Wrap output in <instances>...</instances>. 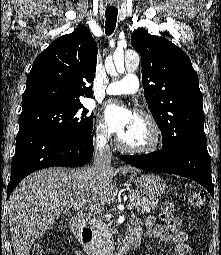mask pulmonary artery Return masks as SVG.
<instances>
[{"mask_svg": "<svg viewBox=\"0 0 221 255\" xmlns=\"http://www.w3.org/2000/svg\"><path fill=\"white\" fill-rule=\"evenodd\" d=\"M138 89V78L134 74H128L121 80L111 82L106 88V93L108 95L134 94Z\"/></svg>", "mask_w": 221, "mask_h": 255, "instance_id": "obj_1", "label": "pulmonary artery"}]
</instances>
